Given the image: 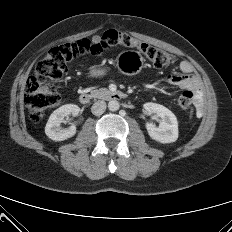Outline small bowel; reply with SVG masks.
<instances>
[{
	"mask_svg": "<svg viewBox=\"0 0 232 232\" xmlns=\"http://www.w3.org/2000/svg\"><path fill=\"white\" fill-rule=\"evenodd\" d=\"M181 73L172 74L168 76L167 83L173 86H177L185 91H190L194 94L195 98L201 102L202 91L199 77L197 76L193 65L187 61H181L179 64ZM202 109V105H199V112Z\"/></svg>",
	"mask_w": 232,
	"mask_h": 232,
	"instance_id": "1",
	"label": "small bowel"
}]
</instances>
